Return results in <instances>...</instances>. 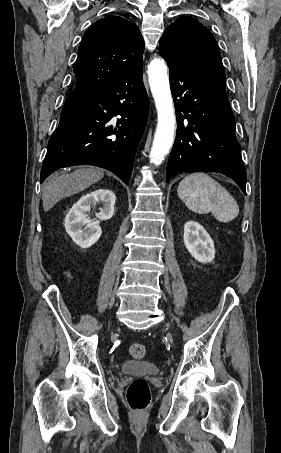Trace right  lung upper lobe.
I'll list each match as a JSON object with an SVG mask.
<instances>
[{
  "instance_id": "cb5924a9",
  "label": "right lung upper lobe",
  "mask_w": 281,
  "mask_h": 453,
  "mask_svg": "<svg viewBox=\"0 0 281 453\" xmlns=\"http://www.w3.org/2000/svg\"><path fill=\"white\" fill-rule=\"evenodd\" d=\"M144 40L137 25L106 16L84 34L73 65L75 85L112 83L142 62Z\"/></svg>"
}]
</instances>
